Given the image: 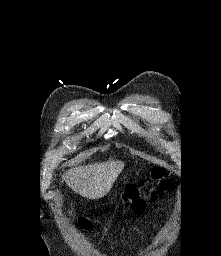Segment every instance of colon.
Masks as SVG:
<instances>
[{
    "instance_id": "5ec220e1",
    "label": "colon",
    "mask_w": 221,
    "mask_h": 256,
    "mask_svg": "<svg viewBox=\"0 0 221 256\" xmlns=\"http://www.w3.org/2000/svg\"><path fill=\"white\" fill-rule=\"evenodd\" d=\"M149 185L152 186L149 196L152 201L157 200L162 191L171 188V182L165 178L164 170L156 167L148 178H142L138 184H130L126 187L121 198L122 202L128 204L133 212L141 214L147 206V200L141 190ZM79 223L84 229L91 226L90 221L85 217H81Z\"/></svg>"
}]
</instances>
